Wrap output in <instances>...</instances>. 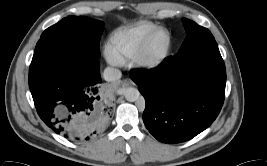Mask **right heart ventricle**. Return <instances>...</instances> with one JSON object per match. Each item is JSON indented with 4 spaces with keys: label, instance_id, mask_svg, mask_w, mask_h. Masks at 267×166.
I'll return each mask as SVG.
<instances>
[{
    "label": "right heart ventricle",
    "instance_id": "obj_1",
    "mask_svg": "<svg viewBox=\"0 0 267 166\" xmlns=\"http://www.w3.org/2000/svg\"><path fill=\"white\" fill-rule=\"evenodd\" d=\"M156 28L158 26L155 23L148 21L118 28L110 36L111 48L120 59L130 57Z\"/></svg>",
    "mask_w": 267,
    "mask_h": 166
}]
</instances>
